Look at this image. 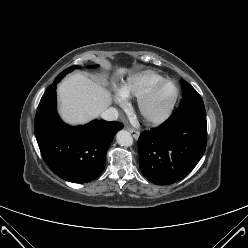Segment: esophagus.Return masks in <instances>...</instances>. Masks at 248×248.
<instances>
[{
    "instance_id": "obj_1",
    "label": "esophagus",
    "mask_w": 248,
    "mask_h": 248,
    "mask_svg": "<svg viewBox=\"0 0 248 248\" xmlns=\"http://www.w3.org/2000/svg\"><path fill=\"white\" fill-rule=\"evenodd\" d=\"M125 129L128 130L135 139H137L139 137V132L137 130H134V129L129 128L127 126L125 127Z\"/></svg>"
}]
</instances>
